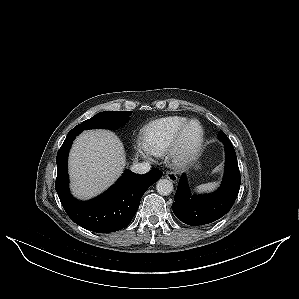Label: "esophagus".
<instances>
[{"mask_svg": "<svg viewBox=\"0 0 299 299\" xmlns=\"http://www.w3.org/2000/svg\"><path fill=\"white\" fill-rule=\"evenodd\" d=\"M165 177L168 178L171 182L176 183L178 181V177L174 172H166Z\"/></svg>", "mask_w": 299, "mask_h": 299, "instance_id": "esophagus-1", "label": "esophagus"}]
</instances>
